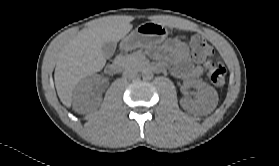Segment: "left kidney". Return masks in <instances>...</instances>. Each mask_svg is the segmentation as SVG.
Masks as SVG:
<instances>
[{
  "mask_svg": "<svg viewBox=\"0 0 279 166\" xmlns=\"http://www.w3.org/2000/svg\"><path fill=\"white\" fill-rule=\"evenodd\" d=\"M185 85L195 88L197 93L194 100L180 99V105L184 110H204L218 99L216 90L205 82L188 79L185 81Z\"/></svg>",
  "mask_w": 279,
  "mask_h": 166,
  "instance_id": "left-kidney-1",
  "label": "left kidney"
}]
</instances>
